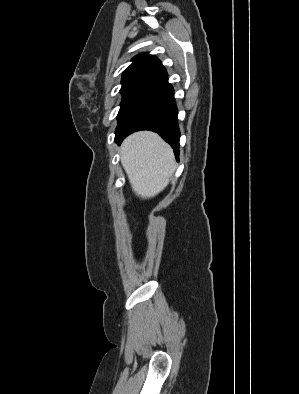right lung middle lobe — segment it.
Here are the masks:
<instances>
[{"label": "right lung middle lobe", "mask_w": 299, "mask_h": 394, "mask_svg": "<svg viewBox=\"0 0 299 394\" xmlns=\"http://www.w3.org/2000/svg\"><path fill=\"white\" fill-rule=\"evenodd\" d=\"M148 89L144 87H122L120 93L122 94V101L120 110L117 115L118 123L121 121L130 106Z\"/></svg>", "instance_id": "dd1d6c3e"}]
</instances>
